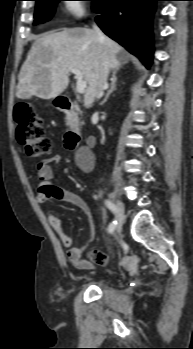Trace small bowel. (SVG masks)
Instances as JSON below:
<instances>
[{"label": "small bowel", "mask_w": 193, "mask_h": 349, "mask_svg": "<svg viewBox=\"0 0 193 349\" xmlns=\"http://www.w3.org/2000/svg\"><path fill=\"white\" fill-rule=\"evenodd\" d=\"M61 161L59 154L52 155L42 160L37 165V174L39 178L37 202L39 204H46L50 201H60L69 203L84 213L89 212V205L76 192L59 187L53 184L54 172L53 166ZM94 155L90 151L81 152L77 156V164L84 172H90L94 167ZM47 219L59 237L61 243L68 248L67 256L75 267L81 270H92L96 265L105 266L109 262L108 256L100 251H93L90 254L91 259L82 257L84 246H72L73 240L62 225L59 217L54 215L51 211H47Z\"/></svg>", "instance_id": "1"}]
</instances>
